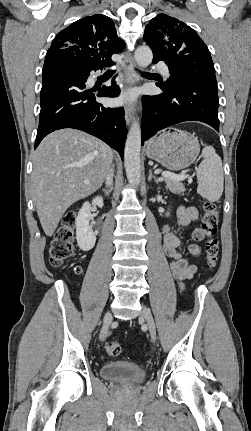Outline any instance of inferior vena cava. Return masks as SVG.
I'll list each match as a JSON object with an SVG mask.
<instances>
[{"mask_svg":"<svg viewBox=\"0 0 251 431\" xmlns=\"http://www.w3.org/2000/svg\"><path fill=\"white\" fill-rule=\"evenodd\" d=\"M113 175H114L113 168H111V169H109V171L106 175V180H105L106 186L110 187L112 185Z\"/></svg>","mask_w":251,"mask_h":431,"instance_id":"inferior-vena-cava-1","label":"inferior vena cava"}]
</instances>
